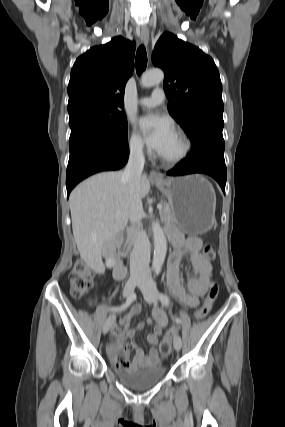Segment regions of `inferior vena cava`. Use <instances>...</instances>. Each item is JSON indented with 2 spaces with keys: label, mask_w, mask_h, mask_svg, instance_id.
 Here are the masks:
<instances>
[{
  "label": "inferior vena cava",
  "mask_w": 285,
  "mask_h": 427,
  "mask_svg": "<svg viewBox=\"0 0 285 427\" xmlns=\"http://www.w3.org/2000/svg\"><path fill=\"white\" fill-rule=\"evenodd\" d=\"M145 157L143 146L137 145L131 148L129 160L123 172L122 178L129 187L130 192V212L129 219L135 227L139 224L143 216V206L139 194L140 178L144 168ZM150 261V242L147 233L139 228L135 229V240L130 256L131 275H143L148 269Z\"/></svg>",
  "instance_id": "obj_1"
}]
</instances>
